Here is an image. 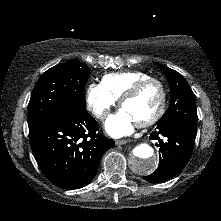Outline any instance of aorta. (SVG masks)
Masks as SVG:
<instances>
[{"label": "aorta", "mask_w": 221, "mask_h": 221, "mask_svg": "<svg viewBox=\"0 0 221 221\" xmlns=\"http://www.w3.org/2000/svg\"><path fill=\"white\" fill-rule=\"evenodd\" d=\"M134 159L131 161V167L135 173L144 175L151 174L158 165L154 149L147 143H140L133 149Z\"/></svg>", "instance_id": "obj_1"}]
</instances>
